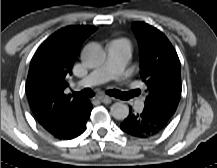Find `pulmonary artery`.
<instances>
[{
  "label": "pulmonary artery",
  "instance_id": "e3ab8cb5",
  "mask_svg": "<svg viewBox=\"0 0 217 168\" xmlns=\"http://www.w3.org/2000/svg\"><path fill=\"white\" fill-rule=\"evenodd\" d=\"M130 57L131 51L128 44L123 40H115L108 46V57L104 65L90 72L83 78L81 84L94 86L113 80L124 93L130 94V86L124 78L125 67ZM143 106L144 99H138L136 107L141 109Z\"/></svg>",
  "mask_w": 217,
  "mask_h": 168
}]
</instances>
